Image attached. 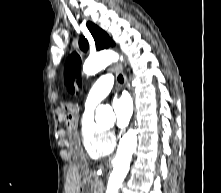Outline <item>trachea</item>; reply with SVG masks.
Instances as JSON below:
<instances>
[{
    "instance_id": "3493384b",
    "label": "trachea",
    "mask_w": 221,
    "mask_h": 193,
    "mask_svg": "<svg viewBox=\"0 0 221 193\" xmlns=\"http://www.w3.org/2000/svg\"><path fill=\"white\" fill-rule=\"evenodd\" d=\"M118 81H119L120 83H123V82H124V78H123V76H122L121 74L118 76Z\"/></svg>"
}]
</instances>
